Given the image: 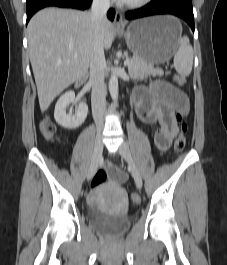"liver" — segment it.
Returning a JSON list of instances; mask_svg holds the SVG:
<instances>
[{
    "label": "liver",
    "instance_id": "obj_1",
    "mask_svg": "<svg viewBox=\"0 0 227 265\" xmlns=\"http://www.w3.org/2000/svg\"><path fill=\"white\" fill-rule=\"evenodd\" d=\"M94 28L91 12L71 9L46 8L29 21L28 52L42 112L87 73ZM100 30L103 47L110 49L115 34L113 24L106 19Z\"/></svg>",
    "mask_w": 227,
    "mask_h": 265
}]
</instances>
